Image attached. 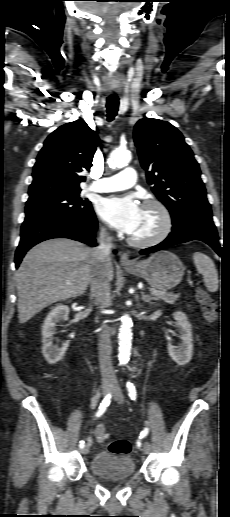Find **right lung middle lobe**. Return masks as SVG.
<instances>
[{
	"label": "right lung middle lobe",
	"mask_w": 230,
	"mask_h": 517,
	"mask_svg": "<svg viewBox=\"0 0 230 517\" xmlns=\"http://www.w3.org/2000/svg\"><path fill=\"white\" fill-rule=\"evenodd\" d=\"M80 191L50 195L27 201L26 216L41 213H62L66 215L88 214L93 212L90 201L80 198Z\"/></svg>",
	"instance_id": "obj_1"
}]
</instances>
